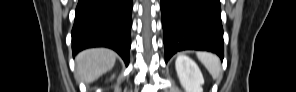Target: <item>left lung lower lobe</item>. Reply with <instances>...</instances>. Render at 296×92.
Returning <instances> with one entry per match:
<instances>
[{
    "label": "left lung lower lobe",
    "mask_w": 296,
    "mask_h": 92,
    "mask_svg": "<svg viewBox=\"0 0 296 92\" xmlns=\"http://www.w3.org/2000/svg\"><path fill=\"white\" fill-rule=\"evenodd\" d=\"M165 60L177 51H211L224 57L219 0H161Z\"/></svg>",
    "instance_id": "0a47b994"
}]
</instances>
